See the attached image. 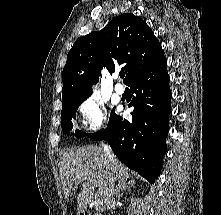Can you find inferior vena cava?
I'll list each match as a JSON object with an SVG mask.
<instances>
[{
    "mask_svg": "<svg viewBox=\"0 0 221 215\" xmlns=\"http://www.w3.org/2000/svg\"><path fill=\"white\" fill-rule=\"evenodd\" d=\"M104 154L105 157L110 161L113 162V156L111 155V149L108 145H104ZM115 196H116V189H115V180L112 179L109 183V188L108 191L106 193V196L104 198V203L107 206V208L109 209L111 207V205L114 203L115 201Z\"/></svg>",
    "mask_w": 221,
    "mask_h": 215,
    "instance_id": "obj_1",
    "label": "inferior vena cava"
}]
</instances>
